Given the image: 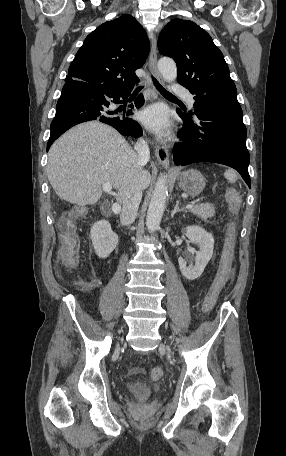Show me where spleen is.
<instances>
[{
  "label": "spleen",
  "instance_id": "spleen-1",
  "mask_svg": "<svg viewBox=\"0 0 286 456\" xmlns=\"http://www.w3.org/2000/svg\"><path fill=\"white\" fill-rule=\"evenodd\" d=\"M224 177L230 182V183H234L236 180H237V173L232 170V169H228L225 171L224 173Z\"/></svg>",
  "mask_w": 286,
  "mask_h": 456
}]
</instances>
